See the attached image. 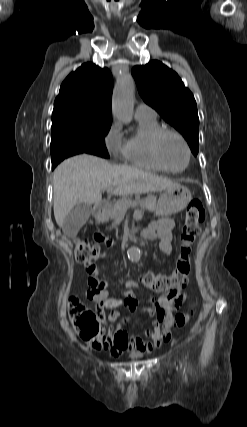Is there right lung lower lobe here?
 Wrapping results in <instances>:
<instances>
[{"label":"right lung lower lobe","instance_id":"right-lung-lower-lobe-1","mask_svg":"<svg viewBox=\"0 0 247 427\" xmlns=\"http://www.w3.org/2000/svg\"><path fill=\"white\" fill-rule=\"evenodd\" d=\"M75 154H78V153L70 152V153L61 154V155H58V156L52 158V169H54L63 159L70 157L72 155H75Z\"/></svg>","mask_w":247,"mask_h":427}]
</instances>
